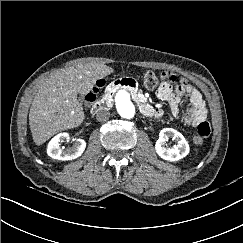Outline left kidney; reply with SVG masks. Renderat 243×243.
Segmentation results:
<instances>
[{"instance_id":"left-kidney-1","label":"left kidney","mask_w":243,"mask_h":243,"mask_svg":"<svg viewBox=\"0 0 243 243\" xmlns=\"http://www.w3.org/2000/svg\"><path fill=\"white\" fill-rule=\"evenodd\" d=\"M172 138L177 144L172 148L166 147V141ZM156 153L164 160L178 161L189 153V144L184 136L173 128H164L159 133V139L155 144Z\"/></svg>"}]
</instances>
